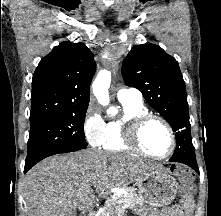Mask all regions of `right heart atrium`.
Listing matches in <instances>:
<instances>
[{
  "label": "right heart atrium",
  "instance_id": "right-heart-atrium-1",
  "mask_svg": "<svg viewBox=\"0 0 221 216\" xmlns=\"http://www.w3.org/2000/svg\"><path fill=\"white\" fill-rule=\"evenodd\" d=\"M106 123L96 106L90 104L86 110L82 128L86 141L92 147H100L105 135Z\"/></svg>",
  "mask_w": 221,
  "mask_h": 216
}]
</instances>
